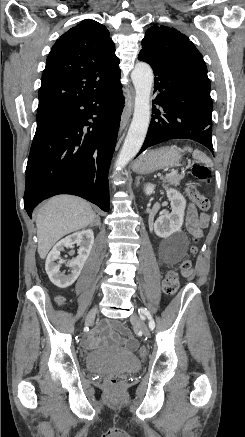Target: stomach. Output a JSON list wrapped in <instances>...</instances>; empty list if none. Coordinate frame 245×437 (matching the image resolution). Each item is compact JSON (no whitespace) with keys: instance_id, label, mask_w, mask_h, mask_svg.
<instances>
[{"instance_id":"stomach-1","label":"stomach","mask_w":245,"mask_h":437,"mask_svg":"<svg viewBox=\"0 0 245 437\" xmlns=\"http://www.w3.org/2000/svg\"><path fill=\"white\" fill-rule=\"evenodd\" d=\"M180 160L181 151L174 146H166L141 155L135 161L133 170L138 174H149L156 170L174 167Z\"/></svg>"}]
</instances>
